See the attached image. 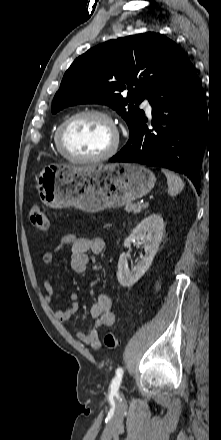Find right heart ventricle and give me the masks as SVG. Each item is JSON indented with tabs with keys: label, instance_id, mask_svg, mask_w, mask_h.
<instances>
[{
	"label": "right heart ventricle",
	"instance_id": "e07e8e85",
	"mask_svg": "<svg viewBox=\"0 0 221 440\" xmlns=\"http://www.w3.org/2000/svg\"><path fill=\"white\" fill-rule=\"evenodd\" d=\"M60 124H61L60 122L58 124H56L52 130V141H53L54 147L57 152H59L58 147H57V130H58V127Z\"/></svg>",
	"mask_w": 221,
	"mask_h": 440
}]
</instances>
